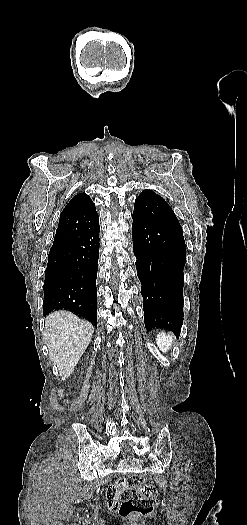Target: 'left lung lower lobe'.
<instances>
[{
  "label": "left lung lower lobe",
  "mask_w": 247,
  "mask_h": 525,
  "mask_svg": "<svg viewBox=\"0 0 247 525\" xmlns=\"http://www.w3.org/2000/svg\"><path fill=\"white\" fill-rule=\"evenodd\" d=\"M132 232L145 327L164 328L178 336L183 323L184 238L161 224L141 218H133Z\"/></svg>",
  "instance_id": "left-lung-lower-lobe-1"
}]
</instances>
